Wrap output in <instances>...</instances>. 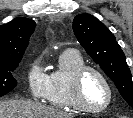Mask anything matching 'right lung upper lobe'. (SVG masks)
I'll use <instances>...</instances> for the list:
<instances>
[{"mask_svg":"<svg viewBox=\"0 0 133 118\" xmlns=\"http://www.w3.org/2000/svg\"><path fill=\"white\" fill-rule=\"evenodd\" d=\"M36 23L28 18L17 17L0 26V61H21Z\"/></svg>","mask_w":133,"mask_h":118,"instance_id":"1","label":"right lung upper lobe"}]
</instances>
